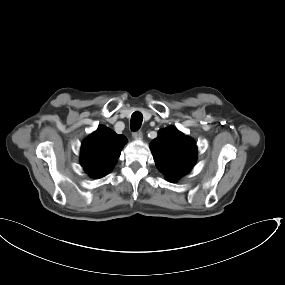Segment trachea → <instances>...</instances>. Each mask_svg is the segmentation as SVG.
Masks as SVG:
<instances>
[{"mask_svg":"<svg viewBox=\"0 0 285 285\" xmlns=\"http://www.w3.org/2000/svg\"><path fill=\"white\" fill-rule=\"evenodd\" d=\"M143 121V115L140 112H134L131 116V129L136 131L140 128Z\"/></svg>","mask_w":285,"mask_h":285,"instance_id":"trachea-1","label":"trachea"}]
</instances>
